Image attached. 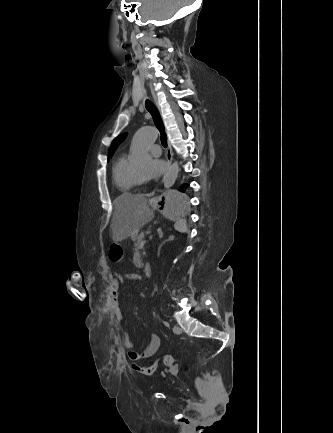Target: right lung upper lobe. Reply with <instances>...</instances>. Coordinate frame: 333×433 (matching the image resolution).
Here are the masks:
<instances>
[{
  "label": "right lung upper lobe",
  "mask_w": 333,
  "mask_h": 433,
  "mask_svg": "<svg viewBox=\"0 0 333 433\" xmlns=\"http://www.w3.org/2000/svg\"><path fill=\"white\" fill-rule=\"evenodd\" d=\"M127 133H124L118 137H116L113 142L112 145L110 147V151H109V156L108 159L111 158V156L113 155V153L115 152L116 148L118 147V145L126 138Z\"/></svg>",
  "instance_id": "right-lung-upper-lobe-1"
}]
</instances>
